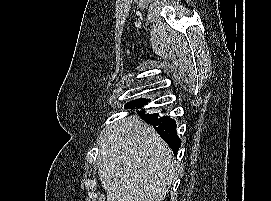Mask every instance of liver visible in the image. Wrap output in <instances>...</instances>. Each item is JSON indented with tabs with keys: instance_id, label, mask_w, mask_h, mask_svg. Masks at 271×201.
<instances>
[{
	"instance_id": "liver-1",
	"label": "liver",
	"mask_w": 271,
	"mask_h": 201,
	"mask_svg": "<svg viewBox=\"0 0 271 201\" xmlns=\"http://www.w3.org/2000/svg\"><path fill=\"white\" fill-rule=\"evenodd\" d=\"M99 147L107 201H164L176 171L171 149L152 126L127 117L106 128Z\"/></svg>"
}]
</instances>
